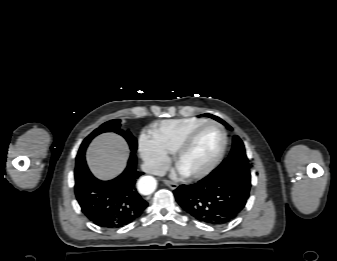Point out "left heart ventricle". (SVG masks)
I'll return each mask as SVG.
<instances>
[{
  "instance_id": "obj_1",
  "label": "left heart ventricle",
  "mask_w": 337,
  "mask_h": 261,
  "mask_svg": "<svg viewBox=\"0 0 337 261\" xmlns=\"http://www.w3.org/2000/svg\"><path fill=\"white\" fill-rule=\"evenodd\" d=\"M222 145L221 131L215 126L204 128L179 163L182 173H192L206 167L217 155Z\"/></svg>"
}]
</instances>
